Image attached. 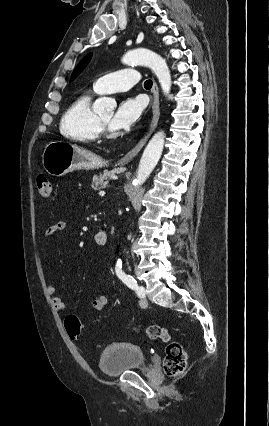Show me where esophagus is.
Returning a JSON list of instances; mask_svg holds the SVG:
<instances>
[{
  "mask_svg": "<svg viewBox=\"0 0 269 426\" xmlns=\"http://www.w3.org/2000/svg\"><path fill=\"white\" fill-rule=\"evenodd\" d=\"M152 91H153V103H152V112H153V116H152V121L149 127V130L147 131V133L144 135V137L138 142V144L131 149L123 158L122 161L124 163L129 162L130 160H132L138 153L139 151L142 149V147L145 145V143L147 142L149 136L151 135V133L155 130L157 124H158V120H159V116H160V103H159V88L157 83L155 82V80L153 81V87H152Z\"/></svg>",
  "mask_w": 269,
  "mask_h": 426,
  "instance_id": "obj_1",
  "label": "esophagus"
}]
</instances>
